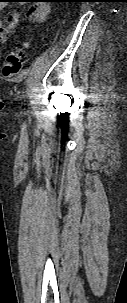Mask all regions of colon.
I'll use <instances>...</instances> for the list:
<instances>
[{
    "label": "colon",
    "mask_w": 127,
    "mask_h": 303,
    "mask_svg": "<svg viewBox=\"0 0 127 303\" xmlns=\"http://www.w3.org/2000/svg\"><path fill=\"white\" fill-rule=\"evenodd\" d=\"M25 47H27V44H22L8 54L3 69V74L5 77L10 78L19 73L23 64L21 49Z\"/></svg>",
    "instance_id": "5ec220e1"
}]
</instances>
